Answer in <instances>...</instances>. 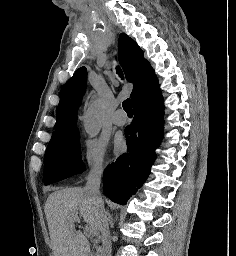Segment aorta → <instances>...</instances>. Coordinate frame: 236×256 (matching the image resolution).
Segmentation results:
<instances>
[{"mask_svg":"<svg viewBox=\"0 0 236 256\" xmlns=\"http://www.w3.org/2000/svg\"><path fill=\"white\" fill-rule=\"evenodd\" d=\"M102 116L103 103L100 99H96L90 104L84 117V128L90 137H94L99 133Z\"/></svg>","mask_w":236,"mask_h":256,"instance_id":"obj_1","label":"aorta"}]
</instances>
